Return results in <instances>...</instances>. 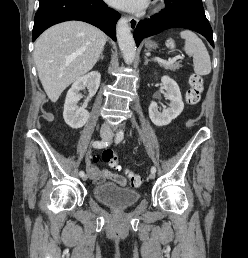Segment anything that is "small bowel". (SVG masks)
<instances>
[{"label":"small bowel","instance_id":"c3829d8e","mask_svg":"<svg viewBox=\"0 0 248 258\" xmlns=\"http://www.w3.org/2000/svg\"><path fill=\"white\" fill-rule=\"evenodd\" d=\"M89 174H90L92 181L97 184H102L106 180H112L120 186H125L127 183L124 176L117 174V173L110 172L108 170L100 171L97 169V173H89Z\"/></svg>","mask_w":248,"mask_h":258}]
</instances>
